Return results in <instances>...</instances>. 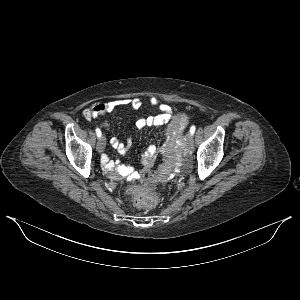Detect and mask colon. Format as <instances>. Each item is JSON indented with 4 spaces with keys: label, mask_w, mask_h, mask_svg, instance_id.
<instances>
[{
    "label": "colon",
    "mask_w": 300,
    "mask_h": 300,
    "mask_svg": "<svg viewBox=\"0 0 300 300\" xmlns=\"http://www.w3.org/2000/svg\"><path fill=\"white\" fill-rule=\"evenodd\" d=\"M187 124V117L185 114H178L174 117L167 129V137L169 139L168 144L164 147V152L168 157V166H172L175 158V142L177 137L182 132ZM168 175L167 169H162L159 172H154L144 178H137L136 185L129 186V193L133 194L134 204L143 209H149L155 207L158 202V196L154 189L157 188V181H164ZM157 180V181H156Z\"/></svg>",
    "instance_id": "5ec220e1"
}]
</instances>
